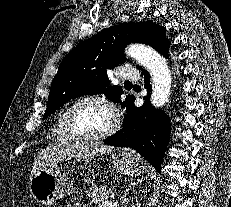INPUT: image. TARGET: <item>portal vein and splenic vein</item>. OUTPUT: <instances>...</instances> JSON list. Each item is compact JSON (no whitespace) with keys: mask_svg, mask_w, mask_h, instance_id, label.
Segmentation results:
<instances>
[{"mask_svg":"<svg viewBox=\"0 0 231 207\" xmlns=\"http://www.w3.org/2000/svg\"><path fill=\"white\" fill-rule=\"evenodd\" d=\"M118 202L103 201L100 207H117Z\"/></svg>","mask_w":231,"mask_h":207,"instance_id":"1","label":"portal vein and splenic vein"}]
</instances>
